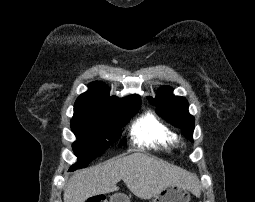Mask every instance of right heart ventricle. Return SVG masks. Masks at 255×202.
<instances>
[{"instance_id":"right-heart-ventricle-1","label":"right heart ventricle","mask_w":255,"mask_h":202,"mask_svg":"<svg viewBox=\"0 0 255 202\" xmlns=\"http://www.w3.org/2000/svg\"><path fill=\"white\" fill-rule=\"evenodd\" d=\"M134 141L147 147L170 150L176 136L155 114L148 112L138 118L131 128Z\"/></svg>"}]
</instances>
